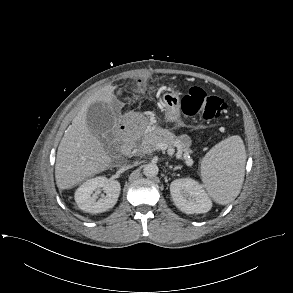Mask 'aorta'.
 <instances>
[{"mask_svg": "<svg viewBox=\"0 0 293 293\" xmlns=\"http://www.w3.org/2000/svg\"><path fill=\"white\" fill-rule=\"evenodd\" d=\"M159 172V168L156 163L150 162L144 166L143 173L147 177H155Z\"/></svg>", "mask_w": 293, "mask_h": 293, "instance_id": "aorta-1", "label": "aorta"}]
</instances>
